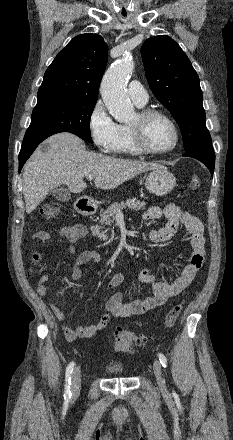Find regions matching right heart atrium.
Segmentation results:
<instances>
[{
	"label": "right heart atrium",
	"instance_id": "obj_1",
	"mask_svg": "<svg viewBox=\"0 0 233 440\" xmlns=\"http://www.w3.org/2000/svg\"><path fill=\"white\" fill-rule=\"evenodd\" d=\"M91 139L99 151L116 153L121 138V125L114 121L102 101H97L88 117Z\"/></svg>",
	"mask_w": 233,
	"mask_h": 440
}]
</instances>
